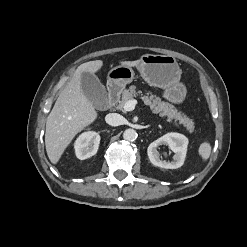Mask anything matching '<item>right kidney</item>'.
I'll return each instance as SVG.
<instances>
[{"mask_svg":"<svg viewBox=\"0 0 247 247\" xmlns=\"http://www.w3.org/2000/svg\"><path fill=\"white\" fill-rule=\"evenodd\" d=\"M100 135L94 131L82 133L74 143L75 154L78 159L84 160L97 153Z\"/></svg>","mask_w":247,"mask_h":247,"instance_id":"1","label":"right kidney"}]
</instances>
